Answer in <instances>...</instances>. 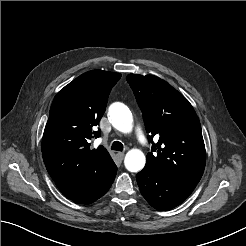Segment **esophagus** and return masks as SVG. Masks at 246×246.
<instances>
[{"instance_id": "obj_1", "label": "esophagus", "mask_w": 246, "mask_h": 246, "mask_svg": "<svg viewBox=\"0 0 246 246\" xmlns=\"http://www.w3.org/2000/svg\"><path fill=\"white\" fill-rule=\"evenodd\" d=\"M124 152H118L117 153V156H118V158L120 159V160H122L123 158H124Z\"/></svg>"}]
</instances>
